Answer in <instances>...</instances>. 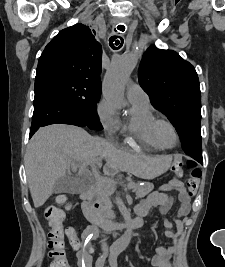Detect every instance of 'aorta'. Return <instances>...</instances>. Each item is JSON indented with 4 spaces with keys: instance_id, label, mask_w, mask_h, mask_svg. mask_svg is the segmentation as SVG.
<instances>
[{
    "instance_id": "762f6f07",
    "label": "aorta",
    "mask_w": 225,
    "mask_h": 267,
    "mask_svg": "<svg viewBox=\"0 0 225 267\" xmlns=\"http://www.w3.org/2000/svg\"><path fill=\"white\" fill-rule=\"evenodd\" d=\"M137 64L135 55H121L114 59L107 71L103 84V96L113 106L123 108L126 105L125 84ZM116 205L125 222L130 224L131 214L120 196L116 197ZM132 227L128 226L126 232L113 243L112 248L122 251L130 243Z\"/></svg>"
}]
</instances>
